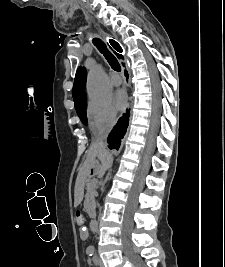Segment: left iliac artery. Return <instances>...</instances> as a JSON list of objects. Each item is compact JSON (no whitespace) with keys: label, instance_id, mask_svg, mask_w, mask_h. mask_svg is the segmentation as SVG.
Masks as SVG:
<instances>
[{"label":"left iliac artery","instance_id":"1","mask_svg":"<svg viewBox=\"0 0 225 267\" xmlns=\"http://www.w3.org/2000/svg\"><path fill=\"white\" fill-rule=\"evenodd\" d=\"M93 261H94L95 263H97L96 257L93 258Z\"/></svg>","mask_w":225,"mask_h":267}]
</instances>
